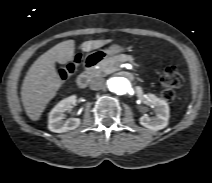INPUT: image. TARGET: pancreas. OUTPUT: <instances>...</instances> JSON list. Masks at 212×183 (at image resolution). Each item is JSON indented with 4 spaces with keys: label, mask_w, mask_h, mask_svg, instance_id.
Instances as JSON below:
<instances>
[{
    "label": "pancreas",
    "mask_w": 212,
    "mask_h": 183,
    "mask_svg": "<svg viewBox=\"0 0 212 183\" xmlns=\"http://www.w3.org/2000/svg\"><path fill=\"white\" fill-rule=\"evenodd\" d=\"M134 57L131 55L121 54L112 57H108L100 62L99 68L94 70L95 75L110 74L119 70L121 63L130 62L134 65Z\"/></svg>",
    "instance_id": "obj_1"
}]
</instances>
